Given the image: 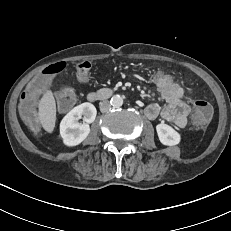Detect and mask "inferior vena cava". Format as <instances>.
<instances>
[{
    "label": "inferior vena cava",
    "mask_w": 231,
    "mask_h": 231,
    "mask_svg": "<svg viewBox=\"0 0 231 231\" xmlns=\"http://www.w3.org/2000/svg\"><path fill=\"white\" fill-rule=\"evenodd\" d=\"M99 106H100V111L102 113H106L111 109V104L108 100H104V101L100 102Z\"/></svg>",
    "instance_id": "602c4592"
}]
</instances>
